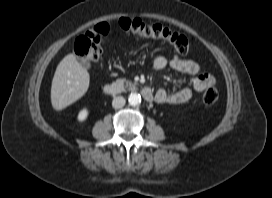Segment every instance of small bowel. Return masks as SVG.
Segmentation results:
<instances>
[{
    "instance_id": "obj_1",
    "label": "small bowel",
    "mask_w": 272,
    "mask_h": 198,
    "mask_svg": "<svg viewBox=\"0 0 272 198\" xmlns=\"http://www.w3.org/2000/svg\"><path fill=\"white\" fill-rule=\"evenodd\" d=\"M156 70L170 68L180 73L192 77L191 86H184L173 93H168L164 89H159L155 93V101L159 104H183L189 101L193 92H202L205 89L215 85V78L208 73L201 71L200 66L181 55L175 54L171 58L159 55L153 61Z\"/></svg>"
}]
</instances>
